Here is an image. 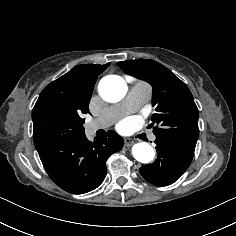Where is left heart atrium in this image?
<instances>
[{"label":"left heart atrium","instance_id":"1","mask_svg":"<svg viewBox=\"0 0 236 236\" xmlns=\"http://www.w3.org/2000/svg\"><path fill=\"white\" fill-rule=\"evenodd\" d=\"M118 127L121 130H126L128 128V122L127 121H122V122L119 123Z\"/></svg>","mask_w":236,"mask_h":236}]
</instances>
